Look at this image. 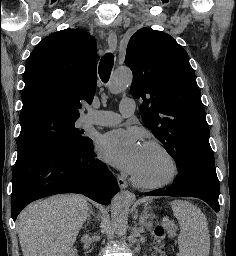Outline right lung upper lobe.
Wrapping results in <instances>:
<instances>
[{
    "mask_svg": "<svg viewBox=\"0 0 236 256\" xmlns=\"http://www.w3.org/2000/svg\"><path fill=\"white\" fill-rule=\"evenodd\" d=\"M96 62L95 39L84 30L45 37L26 63L20 118L44 111L79 118L82 102L91 103L96 91Z\"/></svg>",
    "mask_w": 236,
    "mask_h": 256,
    "instance_id": "1",
    "label": "right lung upper lobe"
}]
</instances>
